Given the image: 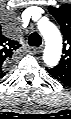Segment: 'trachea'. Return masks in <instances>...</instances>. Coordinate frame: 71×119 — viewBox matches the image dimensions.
<instances>
[{
	"label": "trachea",
	"mask_w": 71,
	"mask_h": 119,
	"mask_svg": "<svg viewBox=\"0 0 71 119\" xmlns=\"http://www.w3.org/2000/svg\"><path fill=\"white\" fill-rule=\"evenodd\" d=\"M41 43H42V39H41V36L38 33L34 32L29 36L28 44L30 46L38 47V46L41 45Z\"/></svg>",
	"instance_id": "obj_1"
}]
</instances>
